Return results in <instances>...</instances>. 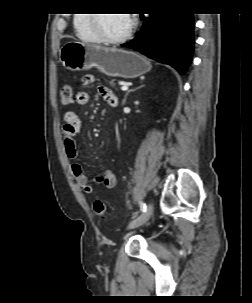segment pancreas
<instances>
[{"instance_id": "cf45deb5", "label": "pancreas", "mask_w": 252, "mask_h": 303, "mask_svg": "<svg viewBox=\"0 0 252 303\" xmlns=\"http://www.w3.org/2000/svg\"><path fill=\"white\" fill-rule=\"evenodd\" d=\"M114 81H115V80H111V81H110V85H111V86H115Z\"/></svg>"}]
</instances>
